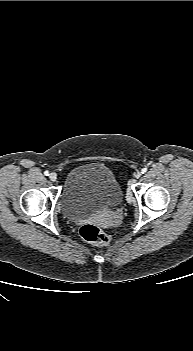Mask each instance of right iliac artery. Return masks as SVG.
<instances>
[{
    "instance_id": "obj_1",
    "label": "right iliac artery",
    "mask_w": 193,
    "mask_h": 351,
    "mask_svg": "<svg viewBox=\"0 0 193 351\" xmlns=\"http://www.w3.org/2000/svg\"><path fill=\"white\" fill-rule=\"evenodd\" d=\"M44 175H45V176H49V172H48V171H45V172H44Z\"/></svg>"
}]
</instances>
